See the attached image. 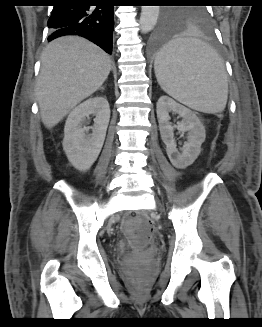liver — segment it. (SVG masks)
Listing matches in <instances>:
<instances>
[{
	"mask_svg": "<svg viewBox=\"0 0 262 327\" xmlns=\"http://www.w3.org/2000/svg\"><path fill=\"white\" fill-rule=\"evenodd\" d=\"M111 71L110 57L88 40L64 36L41 56L36 99L45 127L57 125L77 104L97 91Z\"/></svg>",
	"mask_w": 262,
	"mask_h": 327,
	"instance_id": "1",
	"label": "liver"
}]
</instances>
